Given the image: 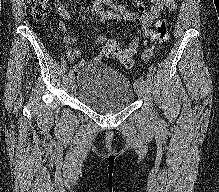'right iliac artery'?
<instances>
[{
    "label": "right iliac artery",
    "instance_id": "right-iliac-artery-1",
    "mask_svg": "<svg viewBox=\"0 0 219 192\" xmlns=\"http://www.w3.org/2000/svg\"><path fill=\"white\" fill-rule=\"evenodd\" d=\"M71 74H73V69H71V70L69 71V75H71Z\"/></svg>",
    "mask_w": 219,
    "mask_h": 192
}]
</instances>
